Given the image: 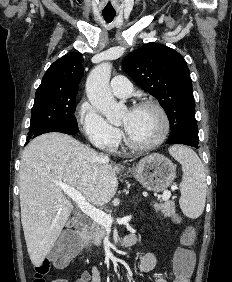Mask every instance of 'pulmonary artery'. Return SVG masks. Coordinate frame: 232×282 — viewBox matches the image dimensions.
<instances>
[{"mask_svg": "<svg viewBox=\"0 0 232 282\" xmlns=\"http://www.w3.org/2000/svg\"><path fill=\"white\" fill-rule=\"evenodd\" d=\"M110 88L112 93L118 98H126L131 95L132 85L125 76H115L111 83Z\"/></svg>", "mask_w": 232, "mask_h": 282, "instance_id": "1", "label": "pulmonary artery"}]
</instances>
